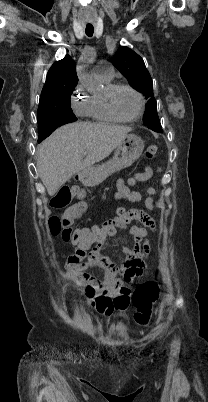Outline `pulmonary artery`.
<instances>
[{"instance_id": "pulmonary-artery-1", "label": "pulmonary artery", "mask_w": 208, "mask_h": 402, "mask_svg": "<svg viewBox=\"0 0 208 402\" xmlns=\"http://www.w3.org/2000/svg\"><path fill=\"white\" fill-rule=\"evenodd\" d=\"M94 69L96 73L99 74V76L106 78V79H112L114 77V72L113 69L110 67L109 63L106 61H97L96 64L94 65Z\"/></svg>"}]
</instances>
